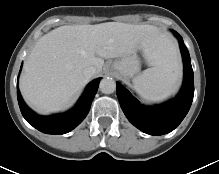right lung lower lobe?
<instances>
[{
  "mask_svg": "<svg viewBox=\"0 0 219 174\" xmlns=\"http://www.w3.org/2000/svg\"><path fill=\"white\" fill-rule=\"evenodd\" d=\"M98 78L85 89L76 106L66 113L51 116H41L34 113L23 101L17 88V98L23 117L37 130L46 134H65L73 130L88 114L92 100L99 86Z\"/></svg>",
  "mask_w": 219,
  "mask_h": 174,
  "instance_id": "obj_1",
  "label": "right lung lower lobe"
}]
</instances>
